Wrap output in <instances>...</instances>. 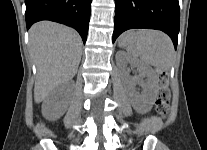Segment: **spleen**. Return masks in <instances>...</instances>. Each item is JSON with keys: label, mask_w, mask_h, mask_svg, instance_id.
<instances>
[{"label": "spleen", "mask_w": 207, "mask_h": 150, "mask_svg": "<svg viewBox=\"0 0 207 150\" xmlns=\"http://www.w3.org/2000/svg\"><path fill=\"white\" fill-rule=\"evenodd\" d=\"M127 53L139 57L147 65L162 71H169L174 60V47L171 39L158 30H138L132 34L131 43L126 45Z\"/></svg>", "instance_id": "spleen-1"}]
</instances>
